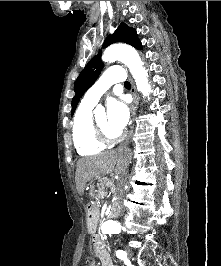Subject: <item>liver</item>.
<instances>
[{
  "label": "liver",
  "instance_id": "6515ba94",
  "mask_svg": "<svg viewBox=\"0 0 221 266\" xmlns=\"http://www.w3.org/2000/svg\"><path fill=\"white\" fill-rule=\"evenodd\" d=\"M129 162L126 150L107 151L95 156L80 158L76 164L75 182L79 195H83L86 183L93 178L115 172L124 174Z\"/></svg>",
  "mask_w": 221,
  "mask_h": 266
}]
</instances>
